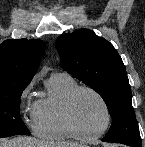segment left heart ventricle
Returning a JSON list of instances; mask_svg holds the SVG:
<instances>
[{"label": "left heart ventricle", "instance_id": "1", "mask_svg": "<svg viewBox=\"0 0 145 147\" xmlns=\"http://www.w3.org/2000/svg\"><path fill=\"white\" fill-rule=\"evenodd\" d=\"M79 124L88 133L100 131L106 122V114L100 101L90 92L79 93L74 103Z\"/></svg>", "mask_w": 145, "mask_h": 147}]
</instances>
